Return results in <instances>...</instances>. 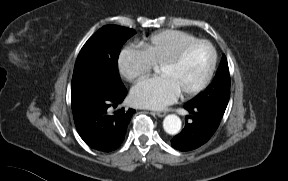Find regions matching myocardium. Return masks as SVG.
<instances>
[{
    "label": "myocardium",
    "mask_w": 288,
    "mask_h": 181,
    "mask_svg": "<svg viewBox=\"0 0 288 181\" xmlns=\"http://www.w3.org/2000/svg\"><path fill=\"white\" fill-rule=\"evenodd\" d=\"M207 45L213 54V59H212V63L210 66V69L207 73V75L205 76V78L195 87L182 91L181 95L183 97H187V96H192V95H196L198 93H200L201 91H203L211 82L216 67H217V63H218V52L216 47L208 40H204V39H197L193 42H190L184 46H182L179 50H177L172 56L164 59L159 65L160 66H173L178 64L183 57L187 54L188 51H190L192 48H194L197 45Z\"/></svg>",
    "instance_id": "obj_1"
}]
</instances>
